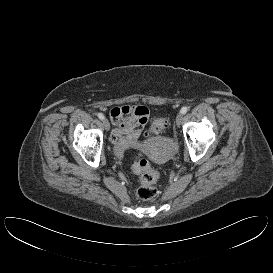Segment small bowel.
Wrapping results in <instances>:
<instances>
[{
    "label": "small bowel",
    "instance_id": "c3829d8e",
    "mask_svg": "<svg viewBox=\"0 0 273 273\" xmlns=\"http://www.w3.org/2000/svg\"><path fill=\"white\" fill-rule=\"evenodd\" d=\"M110 118L116 126L111 134L115 153L121 158L127 147L137 144L148 122L149 110L145 106L114 107Z\"/></svg>",
    "mask_w": 273,
    "mask_h": 273
}]
</instances>
